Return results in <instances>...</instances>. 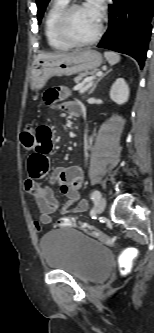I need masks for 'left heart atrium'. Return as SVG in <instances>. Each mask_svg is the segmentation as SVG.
Segmentation results:
<instances>
[{
  "label": "left heart atrium",
  "mask_w": 154,
  "mask_h": 333,
  "mask_svg": "<svg viewBox=\"0 0 154 333\" xmlns=\"http://www.w3.org/2000/svg\"><path fill=\"white\" fill-rule=\"evenodd\" d=\"M85 7L88 8L95 16L100 18L103 9V0H88Z\"/></svg>",
  "instance_id": "1"
}]
</instances>
